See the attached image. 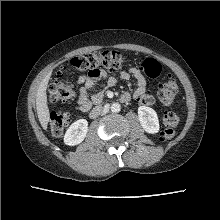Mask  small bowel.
<instances>
[{
    "label": "small bowel",
    "instance_id": "1",
    "mask_svg": "<svg viewBox=\"0 0 220 220\" xmlns=\"http://www.w3.org/2000/svg\"><path fill=\"white\" fill-rule=\"evenodd\" d=\"M133 75L137 82V88L133 97L143 105H150L143 103V98L146 96L147 84L143 75L139 70L132 68L129 71L121 70L119 72V78L122 80H128ZM108 74L105 70H98L95 75L87 74L78 78L77 83L80 85L78 110L81 112H88L94 104L99 103L103 95L97 92L99 84L106 80ZM116 77H109L107 79L108 86L112 87L117 83ZM123 95H130L125 93ZM131 98V97H130Z\"/></svg>",
    "mask_w": 220,
    "mask_h": 220
}]
</instances>
